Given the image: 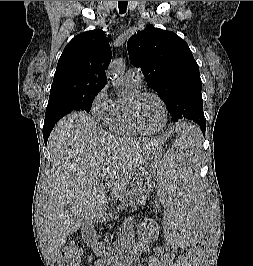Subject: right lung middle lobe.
<instances>
[{"label":"right lung middle lobe","instance_id":"1","mask_svg":"<svg viewBox=\"0 0 253 266\" xmlns=\"http://www.w3.org/2000/svg\"><path fill=\"white\" fill-rule=\"evenodd\" d=\"M99 91L82 94H59L50 96L44 124L57 122L68 113L83 110L89 112Z\"/></svg>","mask_w":253,"mask_h":266}]
</instances>
